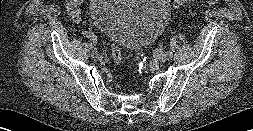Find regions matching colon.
<instances>
[{
  "label": "colon",
  "instance_id": "5ec220e1",
  "mask_svg": "<svg viewBox=\"0 0 253 131\" xmlns=\"http://www.w3.org/2000/svg\"><path fill=\"white\" fill-rule=\"evenodd\" d=\"M208 5H215L219 0H204ZM190 0H174L173 5L175 8H181L187 6ZM112 57L116 65L120 64L121 61V51L118 45L115 43L112 45Z\"/></svg>",
  "mask_w": 253,
  "mask_h": 131
}]
</instances>
